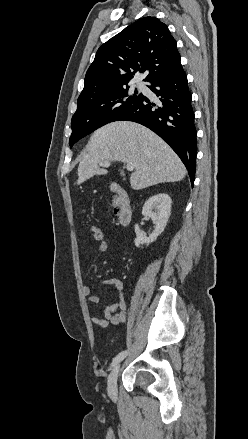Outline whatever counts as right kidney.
<instances>
[{"mask_svg": "<svg viewBox=\"0 0 248 439\" xmlns=\"http://www.w3.org/2000/svg\"><path fill=\"white\" fill-rule=\"evenodd\" d=\"M171 204L172 200L166 193H158L145 202L142 214L143 216L151 218V220L156 223V227L154 232L150 234L149 237H146L141 232L139 225L135 224L136 238L134 243L136 247H140V245L143 244L149 245L156 241L167 225L171 214Z\"/></svg>", "mask_w": 248, "mask_h": 439, "instance_id": "ca27d5eb", "label": "right kidney"}]
</instances>
